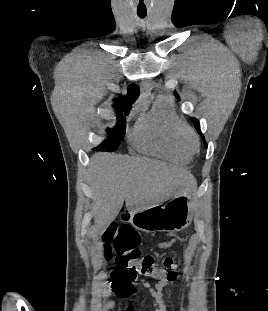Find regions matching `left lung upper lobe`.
I'll return each mask as SVG.
<instances>
[{
    "mask_svg": "<svg viewBox=\"0 0 268 311\" xmlns=\"http://www.w3.org/2000/svg\"><path fill=\"white\" fill-rule=\"evenodd\" d=\"M176 97L179 99V96L177 95V93L175 92ZM192 121L195 123L194 126L197 129V131L202 135L201 131H200V124L199 121L196 118H192ZM204 139V137H203ZM205 146L207 147V144L205 143Z\"/></svg>",
    "mask_w": 268,
    "mask_h": 311,
    "instance_id": "obj_1",
    "label": "left lung upper lobe"
}]
</instances>
